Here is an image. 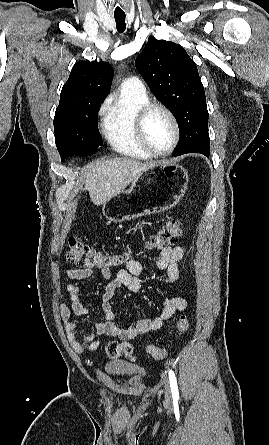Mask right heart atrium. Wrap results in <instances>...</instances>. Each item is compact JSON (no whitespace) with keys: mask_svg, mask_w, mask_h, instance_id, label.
<instances>
[{"mask_svg":"<svg viewBox=\"0 0 269 445\" xmlns=\"http://www.w3.org/2000/svg\"><path fill=\"white\" fill-rule=\"evenodd\" d=\"M106 110V102H104L101 106H100V108H99V113H102V112H104Z\"/></svg>","mask_w":269,"mask_h":445,"instance_id":"d8ad5b80","label":"right heart atrium"}]
</instances>
